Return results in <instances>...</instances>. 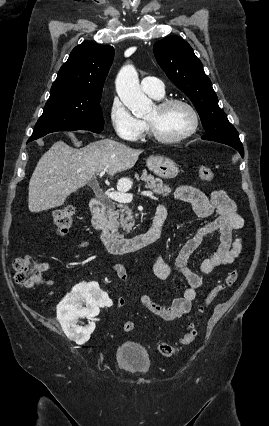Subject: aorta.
<instances>
[{
    "label": "aorta",
    "mask_w": 269,
    "mask_h": 426,
    "mask_svg": "<svg viewBox=\"0 0 269 426\" xmlns=\"http://www.w3.org/2000/svg\"><path fill=\"white\" fill-rule=\"evenodd\" d=\"M116 90L124 105L137 118L145 116L152 108V101L142 92L138 74L131 65L124 66L117 75Z\"/></svg>",
    "instance_id": "1"
}]
</instances>
